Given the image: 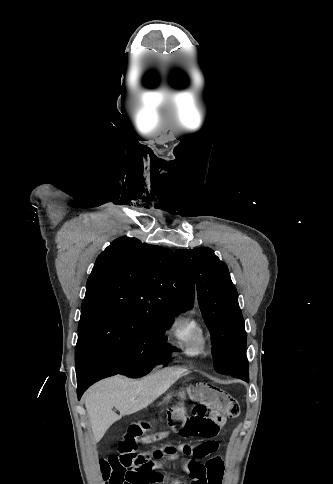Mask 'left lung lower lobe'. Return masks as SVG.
Wrapping results in <instances>:
<instances>
[{
    "label": "left lung lower lobe",
    "mask_w": 333,
    "mask_h": 484,
    "mask_svg": "<svg viewBox=\"0 0 333 484\" xmlns=\"http://www.w3.org/2000/svg\"><path fill=\"white\" fill-rule=\"evenodd\" d=\"M234 362L238 365H240L243 368H248V362H247V357H246V346L243 347L235 356H234ZM245 381L248 382L249 378H245Z\"/></svg>",
    "instance_id": "0a47b994"
}]
</instances>
